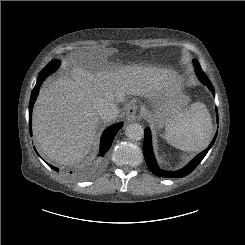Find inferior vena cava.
<instances>
[{"mask_svg": "<svg viewBox=\"0 0 245 245\" xmlns=\"http://www.w3.org/2000/svg\"><path fill=\"white\" fill-rule=\"evenodd\" d=\"M95 107L99 116L106 122L116 119L119 113L117 104L106 99H99Z\"/></svg>", "mask_w": 245, "mask_h": 245, "instance_id": "602c4592", "label": "inferior vena cava"}]
</instances>
